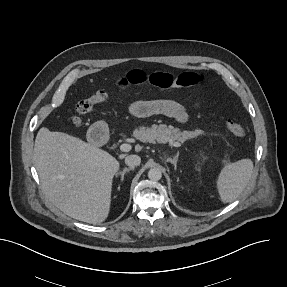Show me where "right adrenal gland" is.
<instances>
[{"mask_svg": "<svg viewBox=\"0 0 287 287\" xmlns=\"http://www.w3.org/2000/svg\"><path fill=\"white\" fill-rule=\"evenodd\" d=\"M131 170H134V168H133V167L124 168L123 171L118 172L116 175H117V176H118V175H121V182H123L125 173H126V172H129V171H131Z\"/></svg>", "mask_w": 287, "mask_h": 287, "instance_id": "obj_1", "label": "right adrenal gland"}]
</instances>
